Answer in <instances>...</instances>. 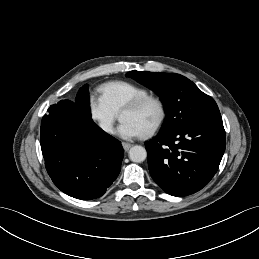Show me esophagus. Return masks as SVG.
<instances>
[{
	"instance_id": "1",
	"label": "esophagus",
	"mask_w": 259,
	"mask_h": 259,
	"mask_svg": "<svg viewBox=\"0 0 259 259\" xmlns=\"http://www.w3.org/2000/svg\"><path fill=\"white\" fill-rule=\"evenodd\" d=\"M122 146L124 148L125 151H128L131 148V144L126 143V142H122Z\"/></svg>"
}]
</instances>
